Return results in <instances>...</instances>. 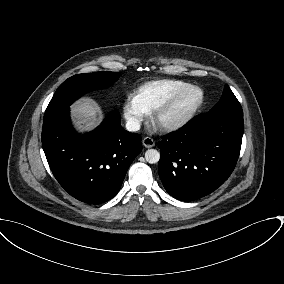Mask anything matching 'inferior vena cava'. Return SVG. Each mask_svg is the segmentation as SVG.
<instances>
[{
  "label": "inferior vena cava",
  "mask_w": 284,
  "mask_h": 284,
  "mask_svg": "<svg viewBox=\"0 0 284 284\" xmlns=\"http://www.w3.org/2000/svg\"><path fill=\"white\" fill-rule=\"evenodd\" d=\"M126 129L130 132H135L140 129V122L137 120H128L126 123Z\"/></svg>",
  "instance_id": "1"
}]
</instances>
